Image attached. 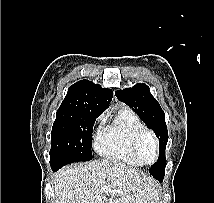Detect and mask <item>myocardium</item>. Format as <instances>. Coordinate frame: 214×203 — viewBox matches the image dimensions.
I'll use <instances>...</instances> for the list:
<instances>
[{
	"mask_svg": "<svg viewBox=\"0 0 214 203\" xmlns=\"http://www.w3.org/2000/svg\"><path fill=\"white\" fill-rule=\"evenodd\" d=\"M146 136H148L152 140L154 148H155V159L152 162L144 161L141 156L140 146H141V142H142L143 138ZM132 151L142 164H144V165L154 164L155 162H157L159 155H160L159 143H158L156 135L151 130L146 129V128L138 131L134 135L133 140H132Z\"/></svg>",
	"mask_w": 214,
	"mask_h": 203,
	"instance_id": "f54148a6",
	"label": "myocardium"
}]
</instances>
